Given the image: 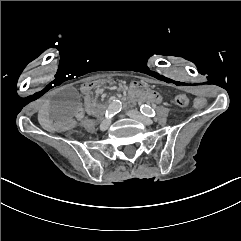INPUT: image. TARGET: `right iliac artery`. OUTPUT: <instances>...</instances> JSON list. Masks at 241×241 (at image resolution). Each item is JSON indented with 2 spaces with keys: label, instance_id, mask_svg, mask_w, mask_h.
<instances>
[{
  "label": "right iliac artery",
  "instance_id": "right-iliac-artery-1",
  "mask_svg": "<svg viewBox=\"0 0 241 241\" xmlns=\"http://www.w3.org/2000/svg\"><path fill=\"white\" fill-rule=\"evenodd\" d=\"M121 110V102L119 100H114L109 108L106 110L105 117L111 118Z\"/></svg>",
  "mask_w": 241,
  "mask_h": 241
}]
</instances>
